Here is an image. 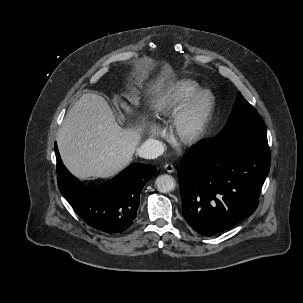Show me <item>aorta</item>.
<instances>
[{"instance_id": "aorta-1", "label": "aorta", "mask_w": 303, "mask_h": 303, "mask_svg": "<svg viewBox=\"0 0 303 303\" xmlns=\"http://www.w3.org/2000/svg\"><path fill=\"white\" fill-rule=\"evenodd\" d=\"M155 185L159 192L168 193L175 188V180L172 176L164 174L156 178Z\"/></svg>"}]
</instances>
